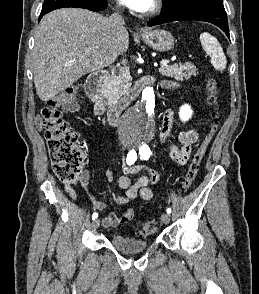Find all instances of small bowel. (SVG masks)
Here are the masks:
<instances>
[{
  "label": "small bowel",
  "instance_id": "obj_1",
  "mask_svg": "<svg viewBox=\"0 0 259 294\" xmlns=\"http://www.w3.org/2000/svg\"><path fill=\"white\" fill-rule=\"evenodd\" d=\"M162 86L164 88H174L176 84L165 81ZM79 106L75 102L64 106L63 110L65 112H76ZM174 122V112L173 110H167L161 121L160 127V138L161 144L168 154L170 159L176 166H182L187 163L191 156L192 145L197 142L199 134L196 130L190 129L182 131L178 134L177 140L181 144L179 147L174 142V137L172 134V126ZM35 125L38 129L42 128V119L38 116L35 120ZM124 174L117 179L118 185L121 189L126 191L124 196H116L114 200L117 204H124L130 200H134L140 197L144 201H150L153 198V191L149 187L151 184L157 183L161 178V173L155 170L143 169L137 165H128L127 161L123 164ZM139 174V177L132 181L131 175ZM105 179L108 182H113L116 180L115 173L112 170H107L104 173ZM90 178V173L85 169L80 178L81 185L85 188L88 185ZM65 190L72 198H76V192L69 185L65 184ZM94 207L99 210H105L107 205L105 202L96 199L94 196L89 195ZM134 217V210L132 208L126 209L121 215H116L114 212L108 213L102 220V225L105 228L117 227L119 225L126 224L130 222Z\"/></svg>",
  "mask_w": 259,
  "mask_h": 294
}]
</instances>
